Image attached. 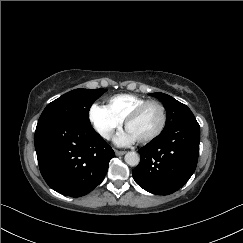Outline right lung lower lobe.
<instances>
[{"mask_svg":"<svg viewBox=\"0 0 243 243\" xmlns=\"http://www.w3.org/2000/svg\"><path fill=\"white\" fill-rule=\"evenodd\" d=\"M35 149L46 183L71 197L86 195L99 185L115 155L91 124L64 119L37 125Z\"/></svg>","mask_w":243,"mask_h":243,"instance_id":"1","label":"right lung lower lobe"}]
</instances>
